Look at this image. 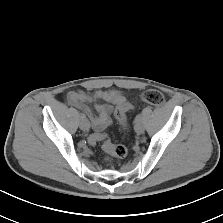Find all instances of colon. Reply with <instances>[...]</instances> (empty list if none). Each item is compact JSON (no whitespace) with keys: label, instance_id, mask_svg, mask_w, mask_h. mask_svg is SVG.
<instances>
[{"label":"colon","instance_id":"5ec220e1","mask_svg":"<svg viewBox=\"0 0 223 223\" xmlns=\"http://www.w3.org/2000/svg\"><path fill=\"white\" fill-rule=\"evenodd\" d=\"M141 100L154 107H161L164 104L163 95L156 90L143 91L141 93ZM130 108L131 105L129 103H123L116 110V118L123 128L127 127L126 111ZM90 142L92 144L101 142L103 149L110 155L117 158H123L128 153V149L126 146L113 144L112 142H110L106 135L101 133L92 134L90 137Z\"/></svg>","mask_w":223,"mask_h":223}]
</instances>
